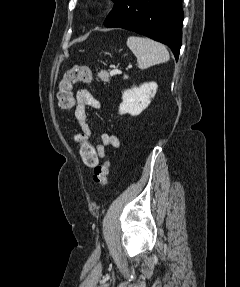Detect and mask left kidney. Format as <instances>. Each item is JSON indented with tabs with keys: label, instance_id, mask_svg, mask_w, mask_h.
<instances>
[{
	"label": "left kidney",
	"instance_id": "5707ae66",
	"mask_svg": "<svg viewBox=\"0 0 240 287\" xmlns=\"http://www.w3.org/2000/svg\"><path fill=\"white\" fill-rule=\"evenodd\" d=\"M157 87L155 82H149L124 91L119 113L132 116L139 115L151 103V98L155 96Z\"/></svg>",
	"mask_w": 240,
	"mask_h": 287
}]
</instances>
